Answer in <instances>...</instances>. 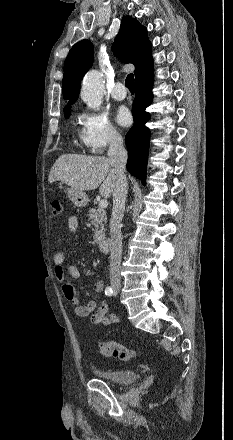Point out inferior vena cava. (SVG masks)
Masks as SVG:
<instances>
[{
  "instance_id": "602c4592",
  "label": "inferior vena cava",
  "mask_w": 233,
  "mask_h": 440,
  "mask_svg": "<svg viewBox=\"0 0 233 440\" xmlns=\"http://www.w3.org/2000/svg\"><path fill=\"white\" fill-rule=\"evenodd\" d=\"M108 158L113 164L117 177L113 190V207L110 219V282L112 285H120V264L122 258L120 223L125 210L128 181L125 175L127 151L123 146V139L118 133L113 134L111 137Z\"/></svg>"
}]
</instances>
